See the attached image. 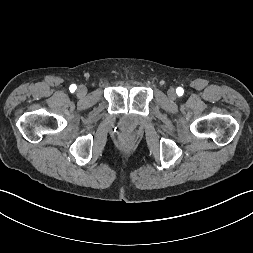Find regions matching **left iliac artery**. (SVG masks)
<instances>
[{
    "label": "left iliac artery",
    "mask_w": 253,
    "mask_h": 253,
    "mask_svg": "<svg viewBox=\"0 0 253 253\" xmlns=\"http://www.w3.org/2000/svg\"><path fill=\"white\" fill-rule=\"evenodd\" d=\"M176 93H177V95H178V96H182V95H183V93H184L183 88L178 87V88L176 89Z\"/></svg>",
    "instance_id": "1"
}]
</instances>
